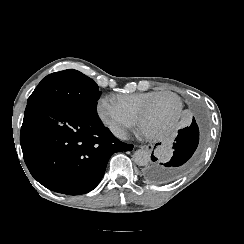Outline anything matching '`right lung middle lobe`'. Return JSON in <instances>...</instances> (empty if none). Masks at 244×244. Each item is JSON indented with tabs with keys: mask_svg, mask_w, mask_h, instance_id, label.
I'll use <instances>...</instances> for the list:
<instances>
[{
	"mask_svg": "<svg viewBox=\"0 0 244 244\" xmlns=\"http://www.w3.org/2000/svg\"><path fill=\"white\" fill-rule=\"evenodd\" d=\"M101 92L89 77L73 69L46 76L29 97L30 103H52L73 110L97 115V100Z\"/></svg>",
	"mask_w": 244,
	"mask_h": 244,
	"instance_id": "dd1d6c3e",
	"label": "right lung middle lobe"
}]
</instances>
